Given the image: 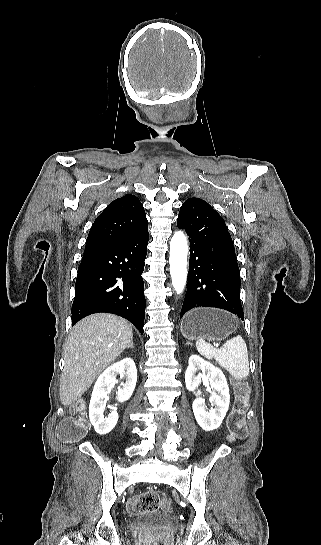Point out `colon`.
Segmentation results:
<instances>
[{
    "label": "colon",
    "mask_w": 321,
    "mask_h": 545,
    "mask_svg": "<svg viewBox=\"0 0 321 545\" xmlns=\"http://www.w3.org/2000/svg\"><path fill=\"white\" fill-rule=\"evenodd\" d=\"M235 402L228 418V431L232 439H244L247 436L245 413L247 410L250 389L247 384L237 382L234 387ZM88 431V422L82 404L74 409V415L62 421L58 428V436L65 443H76L83 439ZM162 506L169 510V504L161 501L155 492L140 493L128 502L127 509L132 514L154 512ZM147 545H164L160 540H150Z\"/></svg>",
    "instance_id": "5ec220e1"
}]
</instances>
